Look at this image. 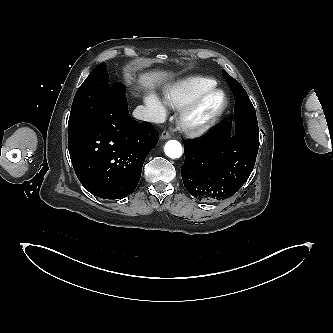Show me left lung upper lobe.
Listing matches in <instances>:
<instances>
[{"instance_id": "left-lung-upper-lobe-1", "label": "left lung upper lobe", "mask_w": 333, "mask_h": 333, "mask_svg": "<svg viewBox=\"0 0 333 333\" xmlns=\"http://www.w3.org/2000/svg\"><path fill=\"white\" fill-rule=\"evenodd\" d=\"M222 72H223L224 77L228 81L230 87L232 88L234 96L236 98L243 97L249 102L250 100L248 99V95H247L246 91L244 90V88L239 84V82L236 81L235 79H233L225 70H222Z\"/></svg>"}]
</instances>
